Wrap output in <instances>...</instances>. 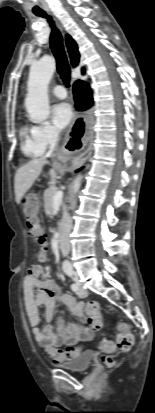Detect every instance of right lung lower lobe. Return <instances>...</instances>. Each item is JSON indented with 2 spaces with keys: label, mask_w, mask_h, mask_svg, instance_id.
<instances>
[{
  "label": "right lung lower lobe",
  "mask_w": 155,
  "mask_h": 413,
  "mask_svg": "<svg viewBox=\"0 0 155 413\" xmlns=\"http://www.w3.org/2000/svg\"><path fill=\"white\" fill-rule=\"evenodd\" d=\"M73 93L77 110H86L92 106V91L87 83L81 80L76 81L73 85Z\"/></svg>",
  "instance_id": "98d812e1"
}]
</instances>
